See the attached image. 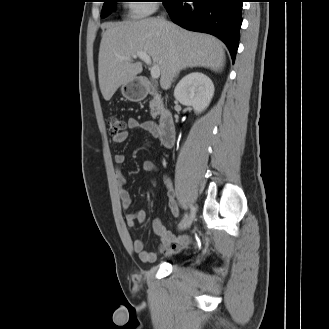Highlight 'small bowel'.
Segmentation results:
<instances>
[{
  "label": "small bowel",
  "instance_id": "small-bowel-1",
  "mask_svg": "<svg viewBox=\"0 0 329 329\" xmlns=\"http://www.w3.org/2000/svg\"><path fill=\"white\" fill-rule=\"evenodd\" d=\"M128 130L114 135L113 142L115 144H123L127 141L129 136V130H139L150 133L156 137L159 134V128L153 121H139L136 118H129L127 121ZM114 161L118 166L116 170V184L118 187V194L122 204V207L127 210L132 204V196L130 192L125 188L126 177L120 168L125 163V156L123 154H116ZM144 169L146 171H156L157 167L153 161H146L144 163ZM164 184L168 190L169 208L173 216H178L179 209L176 201L174 200V191L172 188L171 180L168 176L163 178ZM126 223L129 227H134L136 223H143L146 220V212L144 210H138L134 213L126 214ZM152 229L159 238V245L156 251H149L145 249L144 242L140 239H136L133 242V251L138 254L142 262H153L158 255H171L183 250L190 243L191 238L188 235H174L172 232L166 229L163 223L159 219H154L152 222Z\"/></svg>",
  "mask_w": 329,
  "mask_h": 329
}]
</instances>
